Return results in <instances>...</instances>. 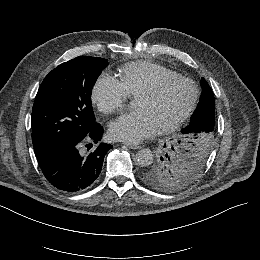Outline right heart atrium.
<instances>
[{
    "label": "right heart atrium",
    "mask_w": 260,
    "mask_h": 260,
    "mask_svg": "<svg viewBox=\"0 0 260 260\" xmlns=\"http://www.w3.org/2000/svg\"><path fill=\"white\" fill-rule=\"evenodd\" d=\"M129 93L120 80L109 73H101L92 88V100L99 111L112 114L124 107Z\"/></svg>",
    "instance_id": "obj_1"
}]
</instances>
